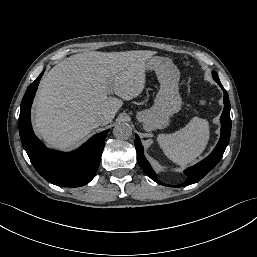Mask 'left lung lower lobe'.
Masks as SVG:
<instances>
[{
	"instance_id": "0a47b994",
	"label": "left lung lower lobe",
	"mask_w": 257,
	"mask_h": 257,
	"mask_svg": "<svg viewBox=\"0 0 257 257\" xmlns=\"http://www.w3.org/2000/svg\"><path fill=\"white\" fill-rule=\"evenodd\" d=\"M222 90L224 91V110L221 116V137L213 152L204 160L199 162L193 167L185 170L186 175L188 176L187 180L177 185L176 187H184L187 185L194 184L202 179L209 171H211L216 164L221 160L223 153L228 145L231 133V119H230V101L227 94V91L223 88L221 83H218ZM135 148L137 152V161L144 172L158 184H162L156 177L155 172L152 170L148 161L144 157L143 147L140 142L138 135L135 136ZM169 186V185H165Z\"/></svg>"
}]
</instances>
